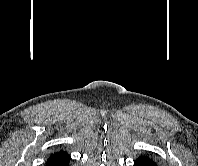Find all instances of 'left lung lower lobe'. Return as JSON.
Returning <instances> with one entry per match:
<instances>
[{"instance_id":"0a47b994","label":"left lung lower lobe","mask_w":198,"mask_h":166,"mask_svg":"<svg viewBox=\"0 0 198 166\" xmlns=\"http://www.w3.org/2000/svg\"><path fill=\"white\" fill-rule=\"evenodd\" d=\"M134 166H157V164L150 157L143 155L134 161Z\"/></svg>"}]
</instances>
